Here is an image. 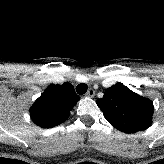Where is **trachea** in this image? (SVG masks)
Here are the masks:
<instances>
[{"label": "trachea", "instance_id": "trachea-1", "mask_svg": "<svg viewBox=\"0 0 164 164\" xmlns=\"http://www.w3.org/2000/svg\"><path fill=\"white\" fill-rule=\"evenodd\" d=\"M88 89V86L85 83H81L76 87V92L80 95H83L86 93Z\"/></svg>", "mask_w": 164, "mask_h": 164}]
</instances>
